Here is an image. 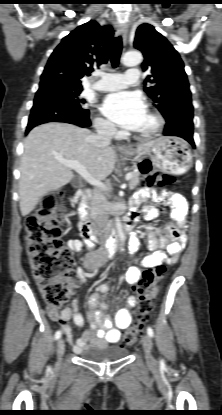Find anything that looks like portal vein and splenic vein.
<instances>
[{
	"label": "portal vein and splenic vein",
	"mask_w": 222,
	"mask_h": 415,
	"mask_svg": "<svg viewBox=\"0 0 222 415\" xmlns=\"http://www.w3.org/2000/svg\"><path fill=\"white\" fill-rule=\"evenodd\" d=\"M57 160L60 163L64 164L65 166L77 171L80 174V176L82 178H84L89 184H91L93 186L100 187L104 190H107V188H106V186L103 182H101L100 180L95 179L94 177H92L88 173L87 169L83 165L78 163L77 161L66 160V159H63V158H57ZM131 177H132V173H127L126 176H125V179L128 181V180L131 179Z\"/></svg>",
	"instance_id": "obj_1"
}]
</instances>
